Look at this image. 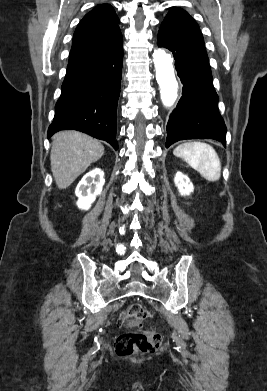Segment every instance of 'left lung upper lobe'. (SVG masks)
<instances>
[{
	"label": "left lung upper lobe",
	"instance_id": "obj_1",
	"mask_svg": "<svg viewBox=\"0 0 267 391\" xmlns=\"http://www.w3.org/2000/svg\"><path fill=\"white\" fill-rule=\"evenodd\" d=\"M160 28H167L176 33L203 43V36L195 20L184 10L172 8L166 15Z\"/></svg>",
	"mask_w": 267,
	"mask_h": 391
}]
</instances>
